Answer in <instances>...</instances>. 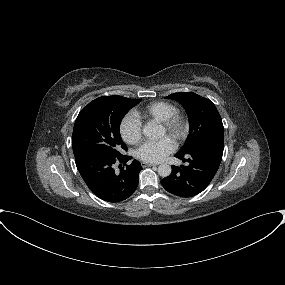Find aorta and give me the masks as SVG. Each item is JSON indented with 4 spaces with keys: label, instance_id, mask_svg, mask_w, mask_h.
<instances>
[{
    "label": "aorta",
    "instance_id": "aorta-1",
    "mask_svg": "<svg viewBox=\"0 0 285 285\" xmlns=\"http://www.w3.org/2000/svg\"><path fill=\"white\" fill-rule=\"evenodd\" d=\"M143 134L148 138H155L161 135L159 129L152 124H147L144 126ZM171 171H172L171 166L168 164H161L158 167V174L161 177H168L171 174Z\"/></svg>",
    "mask_w": 285,
    "mask_h": 285
}]
</instances>
